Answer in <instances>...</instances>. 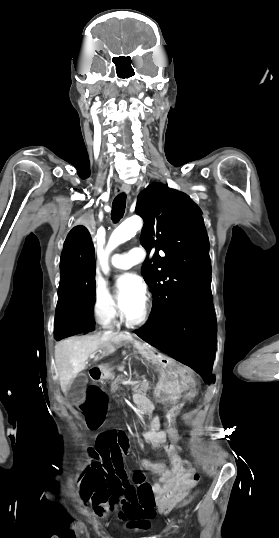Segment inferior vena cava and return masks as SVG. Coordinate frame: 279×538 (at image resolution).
Segmentation results:
<instances>
[{
    "label": "inferior vena cava",
    "instance_id": "1",
    "mask_svg": "<svg viewBox=\"0 0 279 538\" xmlns=\"http://www.w3.org/2000/svg\"><path fill=\"white\" fill-rule=\"evenodd\" d=\"M116 314L115 311L113 310H110L107 312L105 318H104V327L105 328H111L112 326L109 325L110 324V321H112V319H114V315ZM118 326V325H117ZM108 332V331H105V333Z\"/></svg>",
    "mask_w": 279,
    "mask_h": 538
}]
</instances>
